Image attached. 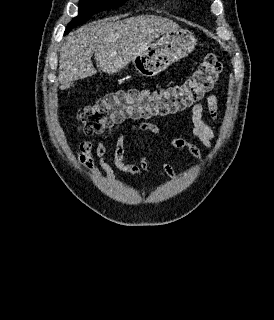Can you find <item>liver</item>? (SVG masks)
<instances>
[{"mask_svg":"<svg viewBox=\"0 0 274 320\" xmlns=\"http://www.w3.org/2000/svg\"><path fill=\"white\" fill-rule=\"evenodd\" d=\"M178 24L162 16H135L126 20L106 18L91 22L70 32L60 50L59 82L66 90L74 80L96 74L95 62L105 74H116L133 58L144 54L147 48Z\"/></svg>","mask_w":274,"mask_h":320,"instance_id":"obj_1","label":"liver"}]
</instances>
